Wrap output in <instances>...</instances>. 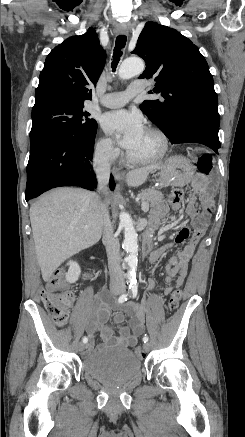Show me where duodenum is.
<instances>
[{"mask_svg": "<svg viewBox=\"0 0 245 437\" xmlns=\"http://www.w3.org/2000/svg\"><path fill=\"white\" fill-rule=\"evenodd\" d=\"M151 244H152V232L150 230H147L143 238V254L145 256L149 254ZM149 262H150V258H149Z\"/></svg>", "mask_w": 245, "mask_h": 437, "instance_id": "duodenum-1", "label": "duodenum"}]
</instances>
